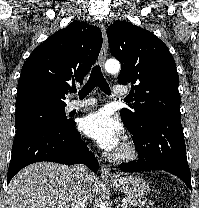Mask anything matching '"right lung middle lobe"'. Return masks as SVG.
Here are the masks:
<instances>
[{
    "label": "right lung middle lobe",
    "mask_w": 199,
    "mask_h": 208,
    "mask_svg": "<svg viewBox=\"0 0 199 208\" xmlns=\"http://www.w3.org/2000/svg\"><path fill=\"white\" fill-rule=\"evenodd\" d=\"M66 118L65 107L29 106L16 110V129L28 125H44L55 129L71 124Z\"/></svg>",
    "instance_id": "1"
}]
</instances>
